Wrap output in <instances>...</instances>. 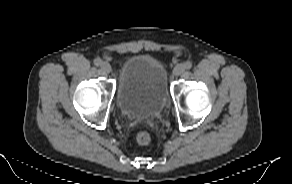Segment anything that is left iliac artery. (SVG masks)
<instances>
[{
    "label": "left iliac artery",
    "mask_w": 292,
    "mask_h": 184,
    "mask_svg": "<svg viewBox=\"0 0 292 184\" xmlns=\"http://www.w3.org/2000/svg\"><path fill=\"white\" fill-rule=\"evenodd\" d=\"M184 67L185 69H190L192 67V63L190 61H187L185 64H184Z\"/></svg>",
    "instance_id": "left-iliac-artery-1"
}]
</instances>
